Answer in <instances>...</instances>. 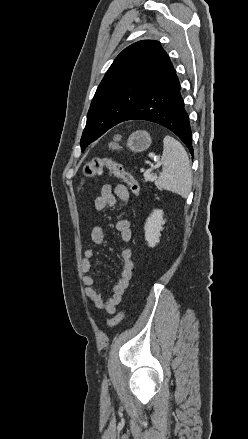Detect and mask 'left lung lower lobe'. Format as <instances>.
Wrapping results in <instances>:
<instances>
[{"label": "left lung lower lobe", "instance_id": "obj_1", "mask_svg": "<svg viewBox=\"0 0 248 439\" xmlns=\"http://www.w3.org/2000/svg\"><path fill=\"white\" fill-rule=\"evenodd\" d=\"M128 120H146L166 127L183 141L193 155L189 116L171 62L120 123Z\"/></svg>", "mask_w": 248, "mask_h": 439}]
</instances>
